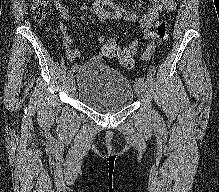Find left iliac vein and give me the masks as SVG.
I'll return each instance as SVG.
<instances>
[{
  "label": "left iliac vein",
  "instance_id": "obj_1",
  "mask_svg": "<svg viewBox=\"0 0 219 192\" xmlns=\"http://www.w3.org/2000/svg\"><path fill=\"white\" fill-rule=\"evenodd\" d=\"M136 91L139 97L143 99H151V86L149 81L138 80L136 83Z\"/></svg>",
  "mask_w": 219,
  "mask_h": 192
}]
</instances>
